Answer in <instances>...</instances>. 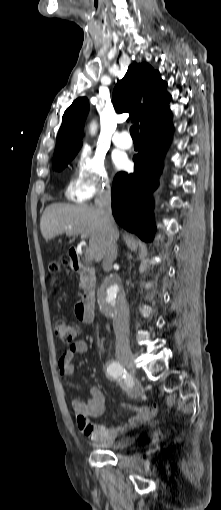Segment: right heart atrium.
Returning <instances> with one entry per match:
<instances>
[{
    "label": "right heart atrium",
    "mask_w": 221,
    "mask_h": 510,
    "mask_svg": "<svg viewBox=\"0 0 221 510\" xmlns=\"http://www.w3.org/2000/svg\"><path fill=\"white\" fill-rule=\"evenodd\" d=\"M110 182L101 154L83 147L67 183V195L74 201H87L109 189Z\"/></svg>",
    "instance_id": "obj_1"
}]
</instances>
